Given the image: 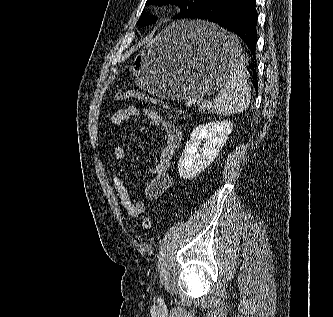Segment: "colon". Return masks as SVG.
<instances>
[{"instance_id": "5ec220e1", "label": "colon", "mask_w": 333, "mask_h": 317, "mask_svg": "<svg viewBox=\"0 0 333 317\" xmlns=\"http://www.w3.org/2000/svg\"><path fill=\"white\" fill-rule=\"evenodd\" d=\"M114 98L116 100H123V99H137V100H142L145 102H148L150 104H153L158 107H166L164 104H162L160 101L157 99H154L148 95H145L141 92H138L133 89H127L123 91H119L114 95ZM142 226L145 230H150L152 227V220L149 216H146L143 221H142Z\"/></svg>"}]
</instances>
